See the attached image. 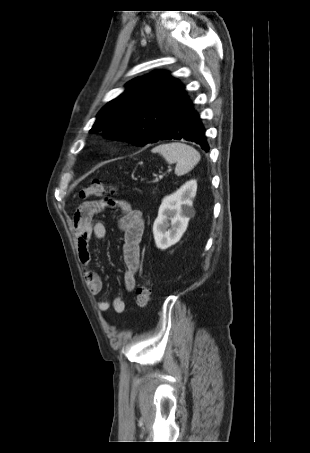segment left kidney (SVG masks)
Here are the masks:
<instances>
[{"label":"left kidney","mask_w":310,"mask_h":453,"mask_svg":"<svg viewBox=\"0 0 310 453\" xmlns=\"http://www.w3.org/2000/svg\"><path fill=\"white\" fill-rule=\"evenodd\" d=\"M197 181L190 180L176 192L166 196L159 207L153 225V235L158 249L166 250L176 244L194 216L193 198L196 196Z\"/></svg>","instance_id":"left-kidney-1"}]
</instances>
